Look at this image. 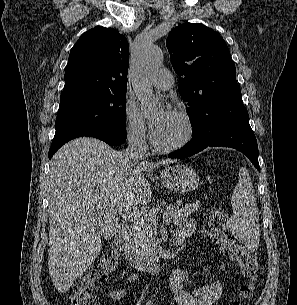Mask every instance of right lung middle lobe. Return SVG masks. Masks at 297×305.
Masks as SVG:
<instances>
[{"mask_svg":"<svg viewBox=\"0 0 297 305\" xmlns=\"http://www.w3.org/2000/svg\"><path fill=\"white\" fill-rule=\"evenodd\" d=\"M125 93H91L60 99L51 147L87 130H125Z\"/></svg>","mask_w":297,"mask_h":305,"instance_id":"obj_1","label":"right lung middle lobe"}]
</instances>
